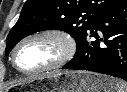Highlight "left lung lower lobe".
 <instances>
[{
	"mask_svg": "<svg viewBox=\"0 0 127 92\" xmlns=\"http://www.w3.org/2000/svg\"><path fill=\"white\" fill-rule=\"evenodd\" d=\"M91 37L96 40L91 41ZM100 41L104 45L100 46ZM62 69L88 70L127 81V0H121L97 20L77 44L73 59Z\"/></svg>",
	"mask_w": 127,
	"mask_h": 92,
	"instance_id": "obj_1",
	"label": "left lung lower lobe"
}]
</instances>
